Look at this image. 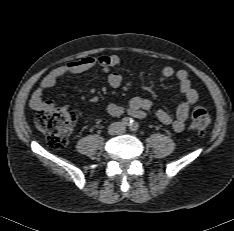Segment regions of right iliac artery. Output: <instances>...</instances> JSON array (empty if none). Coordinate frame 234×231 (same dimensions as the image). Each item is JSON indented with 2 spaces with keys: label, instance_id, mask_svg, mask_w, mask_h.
Segmentation results:
<instances>
[{
  "label": "right iliac artery",
  "instance_id": "1",
  "mask_svg": "<svg viewBox=\"0 0 234 231\" xmlns=\"http://www.w3.org/2000/svg\"><path fill=\"white\" fill-rule=\"evenodd\" d=\"M122 124L124 126H131L133 124V120L131 118H128V117H124L122 119Z\"/></svg>",
  "mask_w": 234,
  "mask_h": 231
}]
</instances>
